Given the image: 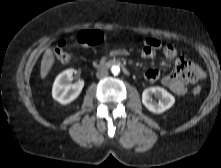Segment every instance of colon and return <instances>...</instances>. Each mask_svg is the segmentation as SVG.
Segmentation results:
<instances>
[{
  "label": "colon",
  "mask_w": 221,
  "mask_h": 168,
  "mask_svg": "<svg viewBox=\"0 0 221 168\" xmlns=\"http://www.w3.org/2000/svg\"><path fill=\"white\" fill-rule=\"evenodd\" d=\"M75 40L82 46L95 47L101 44L104 40V34L100 30H84L76 34ZM68 41H60L54 51V57L59 63H67L71 59V54L67 51ZM144 46L151 49L160 48L161 44L157 39L147 38L144 41ZM202 91L200 86L193 89L195 95H199Z\"/></svg>",
  "instance_id": "1"
}]
</instances>
